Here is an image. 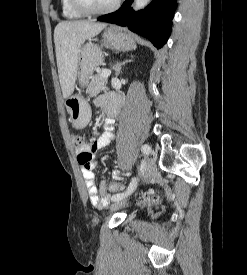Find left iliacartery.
<instances>
[{"instance_id":"obj_1","label":"left iliac artery","mask_w":247,"mask_h":275,"mask_svg":"<svg viewBox=\"0 0 247 275\" xmlns=\"http://www.w3.org/2000/svg\"><path fill=\"white\" fill-rule=\"evenodd\" d=\"M141 150L145 155H149L151 152L150 146L146 145V144L141 147ZM136 187H137V178L134 177L131 180L127 190L124 193H118V194L113 195L111 200L115 202V201L123 199L125 196H127V194L133 192L136 189Z\"/></svg>"}]
</instances>
